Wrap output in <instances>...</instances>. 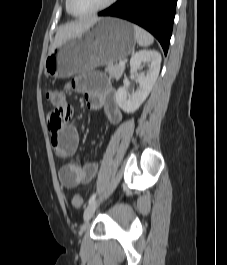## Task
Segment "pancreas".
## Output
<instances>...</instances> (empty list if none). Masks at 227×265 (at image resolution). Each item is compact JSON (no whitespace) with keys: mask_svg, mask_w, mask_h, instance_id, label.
<instances>
[{"mask_svg":"<svg viewBox=\"0 0 227 265\" xmlns=\"http://www.w3.org/2000/svg\"><path fill=\"white\" fill-rule=\"evenodd\" d=\"M105 71L108 72L110 76L119 79L123 74L124 67H121L118 64H108Z\"/></svg>","mask_w":227,"mask_h":265,"instance_id":"cf45deb5","label":"pancreas"}]
</instances>
